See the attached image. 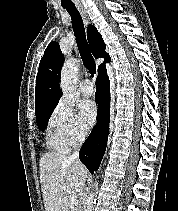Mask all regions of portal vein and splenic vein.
I'll return each mask as SVG.
<instances>
[{
	"label": "portal vein and splenic vein",
	"mask_w": 178,
	"mask_h": 211,
	"mask_svg": "<svg viewBox=\"0 0 178 211\" xmlns=\"http://www.w3.org/2000/svg\"><path fill=\"white\" fill-rule=\"evenodd\" d=\"M61 189L66 191L67 190V187L66 186H61ZM69 199L71 201V204H76L77 203V196L72 194L69 196Z\"/></svg>",
	"instance_id": "18ae733b"
}]
</instances>
